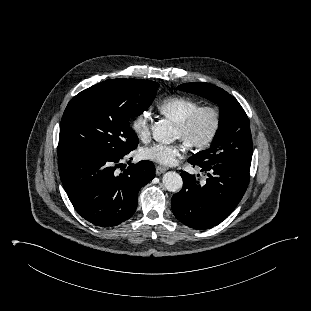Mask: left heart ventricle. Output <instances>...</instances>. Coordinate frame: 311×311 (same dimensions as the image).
Wrapping results in <instances>:
<instances>
[{"instance_id":"b2bd125f","label":"left heart ventricle","mask_w":311,"mask_h":311,"mask_svg":"<svg viewBox=\"0 0 311 311\" xmlns=\"http://www.w3.org/2000/svg\"><path fill=\"white\" fill-rule=\"evenodd\" d=\"M211 125V116L209 114L203 115L194 126L191 133V138L194 140H200L204 138L209 132ZM176 138L181 139V133L178 129L176 130Z\"/></svg>"}]
</instances>
